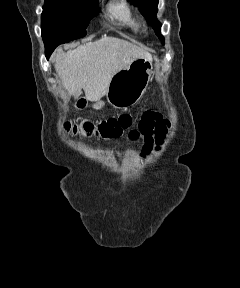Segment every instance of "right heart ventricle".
I'll return each mask as SVG.
<instances>
[{"label": "right heart ventricle", "instance_id": "e07e8e85", "mask_svg": "<svg viewBox=\"0 0 240 288\" xmlns=\"http://www.w3.org/2000/svg\"><path fill=\"white\" fill-rule=\"evenodd\" d=\"M107 12L112 20H115L124 26L132 29H137L140 26V23L127 0H114L108 5Z\"/></svg>", "mask_w": 240, "mask_h": 288}]
</instances>
